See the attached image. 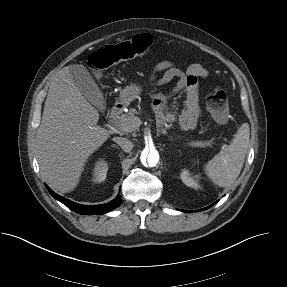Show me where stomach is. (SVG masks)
Returning <instances> with one entry per match:
<instances>
[{"instance_id":"stomach-1","label":"stomach","mask_w":287,"mask_h":287,"mask_svg":"<svg viewBox=\"0 0 287 287\" xmlns=\"http://www.w3.org/2000/svg\"><path fill=\"white\" fill-rule=\"evenodd\" d=\"M141 92V87L133 84L125 87L120 92V100L125 105H129L131 101H133Z\"/></svg>"}]
</instances>
